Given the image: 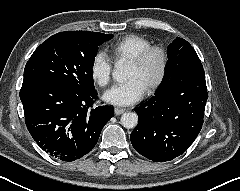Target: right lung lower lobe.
<instances>
[{
  "mask_svg": "<svg viewBox=\"0 0 240 191\" xmlns=\"http://www.w3.org/2000/svg\"><path fill=\"white\" fill-rule=\"evenodd\" d=\"M20 99L33 139L49 155L66 162L89 153L114 115L107 105L92 108L95 89L78 93L59 84L25 82Z\"/></svg>",
  "mask_w": 240,
  "mask_h": 191,
  "instance_id": "98d812e1",
  "label": "right lung lower lobe"
}]
</instances>
